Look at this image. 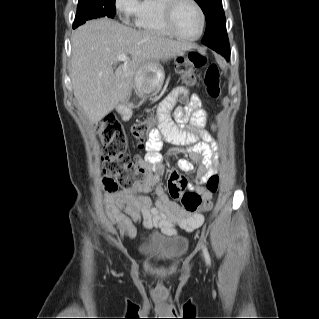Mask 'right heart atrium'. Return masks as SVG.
Listing matches in <instances>:
<instances>
[{
	"label": "right heart atrium",
	"instance_id": "1",
	"mask_svg": "<svg viewBox=\"0 0 319 319\" xmlns=\"http://www.w3.org/2000/svg\"><path fill=\"white\" fill-rule=\"evenodd\" d=\"M139 0H115L114 6L118 14L124 19L129 20L137 13Z\"/></svg>",
	"mask_w": 319,
	"mask_h": 319
}]
</instances>
